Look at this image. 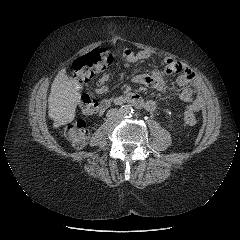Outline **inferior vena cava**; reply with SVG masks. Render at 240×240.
Wrapping results in <instances>:
<instances>
[{
	"label": "inferior vena cava",
	"instance_id": "1",
	"mask_svg": "<svg viewBox=\"0 0 240 240\" xmlns=\"http://www.w3.org/2000/svg\"><path fill=\"white\" fill-rule=\"evenodd\" d=\"M121 117L120 111L116 108L111 109L107 112V118L110 121H116Z\"/></svg>",
	"mask_w": 240,
	"mask_h": 240
}]
</instances>
